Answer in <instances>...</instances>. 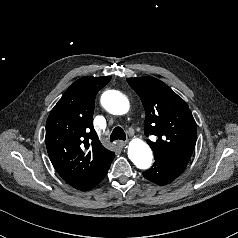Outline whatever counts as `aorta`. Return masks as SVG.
<instances>
[{"label": "aorta", "mask_w": 238, "mask_h": 238, "mask_svg": "<svg viewBox=\"0 0 238 238\" xmlns=\"http://www.w3.org/2000/svg\"><path fill=\"white\" fill-rule=\"evenodd\" d=\"M101 103L107 111L115 115L126 114L130 108L128 99L115 90L104 92ZM128 157L140 169H148L153 159L150 147L140 139H134L129 143Z\"/></svg>", "instance_id": "aorta-1"}]
</instances>
